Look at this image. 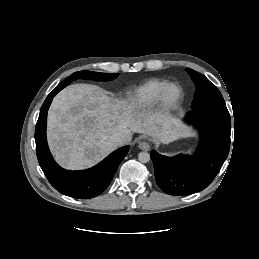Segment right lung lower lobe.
<instances>
[{"label": "right lung lower lobe", "instance_id": "right-lung-lower-lobe-1", "mask_svg": "<svg viewBox=\"0 0 259 259\" xmlns=\"http://www.w3.org/2000/svg\"><path fill=\"white\" fill-rule=\"evenodd\" d=\"M62 89V86H57L48 95L40 110L35 128L38 162L50 184L62 194L79 199L93 198L108 187L130 146L114 151L98 165L87 170L68 171L58 166L47 145L46 124L47 112L52 99Z\"/></svg>", "mask_w": 259, "mask_h": 259}]
</instances>
